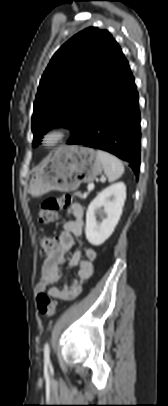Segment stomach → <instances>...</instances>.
I'll return each mask as SVG.
<instances>
[{"mask_svg":"<svg viewBox=\"0 0 168 406\" xmlns=\"http://www.w3.org/2000/svg\"><path fill=\"white\" fill-rule=\"evenodd\" d=\"M103 171L94 149L70 145L59 147L32 176L29 193L41 196L49 191L70 192L81 183L92 182Z\"/></svg>","mask_w":168,"mask_h":406,"instance_id":"1","label":"stomach"}]
</instances>
